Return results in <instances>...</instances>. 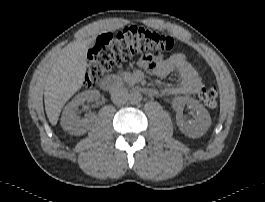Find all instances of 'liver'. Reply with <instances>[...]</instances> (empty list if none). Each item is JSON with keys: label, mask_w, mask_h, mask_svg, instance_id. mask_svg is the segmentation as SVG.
<instances>
[{"label": "liver", "mask_w": 265, "mask_h": 202, "mask_svg": "<svg viewBox=\"0 0 265 202\" xmlns=\"http://www.w3.org/2000/svg\"><path fill=\"white\" fill-rule=\"evenodd\" d=\"M92 41L91 38L74 41L54 59L44 92L45 111L52 125L57 124L63 106L83 85L87 51Z\"/></svg>", "instance_id": "6515ba94"}]
</instances>
